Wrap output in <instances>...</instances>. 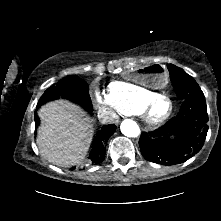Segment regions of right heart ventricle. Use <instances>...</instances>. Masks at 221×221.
I'll return each mask as SVG.
<instances>
[{"label": "right heart ventricle", "mask_w": 221, "mask_h": 221, "mask_svg": "<svg viewBox=\"0 0 221 221\" xmlns=\"http://www.w3.org/2000/svg\"><path fill=\"white\" fill-rule=\"evenodd\" d=\"M157 93L138 84L113 81L108 85V95L122 114L140 113L142 105Z\"/></svg>", "instance_id": "right-heart-ventricle-1"}]
</instances>
